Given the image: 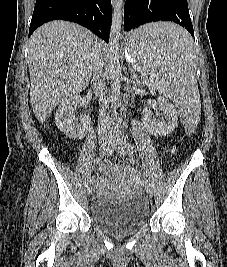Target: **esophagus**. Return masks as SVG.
I'll return each instance as SVG.
<instances>
[{
  "label": "esophagus",
  "instance_id": "1",
  "mask_svg": "<svg viewBox=\"0 0 227 267\" xmlns=\"http://www.w3.org/2000/svg\"><path fill=\"white\" fill-rule=\"evenodd\" d=\"M118 0H111L113 8L116 6Z\"/></svg>",
  "mask_w": 227,
  "mask_h": 267
}]
</instances>
